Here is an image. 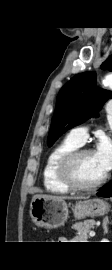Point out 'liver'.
<instances>
[{
  "mask_svg": "<svg viewBox=\"0 0 112 270\" xmlns=\"http://www.w3.org/2000/svg\"><path fill=\"white\" fill-rule=\"evenodd\" d=\"M36 197H44V198H60V199H70V197H64V196H52V195H35L33 198ZM75 199H83V197H76Z\"/></svg>",
  "mask_w": 112,
  "mask_h": 270,
  "instance_id": "obj_1",
  "label": "liver"
}]
</instances>
